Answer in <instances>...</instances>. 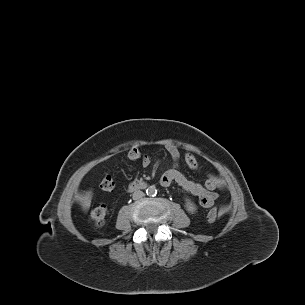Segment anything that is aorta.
<instances>
[{
    "instance_id": "762f6f07",
    "label": "aorta",
    "mask_w": 305,
    "mask_h": 305,
    "mask_svg": "<svg viewBox=\"0 0 305 305\" xmlns=\"http://www.w3.org/2000/svg\"><path fill=\"white\" fill-rule=\"evenodd\" d=\"M146 193H147L148 196H155L156 193H157V190H156L155 187L150 186V187H148V188L146 189Z\"/></svg>"
}]
</instances>
